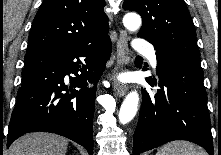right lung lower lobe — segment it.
<instances>
[{
    "mask_svg": "<svg viewBox=\"0 0 221 155\" xmlns=\"http://www.w3.org/2000/svg\"><path fill=\"white\" fill-rule=\"evenodd\" d=\"M112 50L108 35L81 46H43L27 50L22 84L9 123L7 147L28 132H51L67 137L93 155L95 87ZM79 57L85 58L83 65ZM78 71L81 74H78ZM70 87L65 85L68 74ZM81 88L75 90L73 88Z\"/></svg>",
    "mask_w": 221,
    "mask_h": 155,
    "instance_id": "98d812e1",
    "label": "right lung lower lobe"
}]
</instances>
